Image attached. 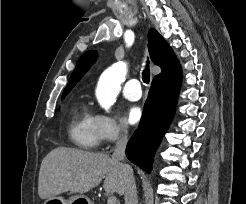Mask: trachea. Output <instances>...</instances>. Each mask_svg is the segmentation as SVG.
<instances>
[{
  "instance_id": "1",
  "label": "trachea",
  "mask_w": 246,
  "mask_h": 204,
  "mask_svg": "<svg viewBox=\"0 0 246 204\" xmlns=\"http://www.w3.org/2000/svg\"><path fill=\"white\" fill-rule=\"evenodd\" d=\"M142 80L144 83L148 84L150 81V70H149V60H147V65L142 72Z\"/></svg>"
}]
</instances>
